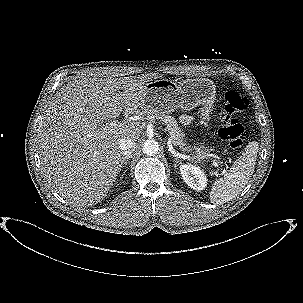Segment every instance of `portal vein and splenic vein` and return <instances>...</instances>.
Listing matches in <instances>:
<instances>
[{
    "label": "portal vein and splenic vein",
    "instance_id": "portal-vein-and-splenic-vein-1",
    "mask_svg": "<svg viewBox=\"0 0 303 303\" xmlns=\"http://www.w3.org/2000/svg\"><path fill=\"white\" fill-rule=\"evenodd\" d=\"M124 126H125L124 123L112 121V122L109 123L108 126H105V127H104V130H108V131H110V132H113V131L118 130V129L124 127ZM213 164H214V166H216V167L219 168V164H218V163L214 162ZM222 173H223V174L226 173V170H223Z\"/></svg>",
    "mask_w": 303,
    "mask_h": 303
}]
</instances>
